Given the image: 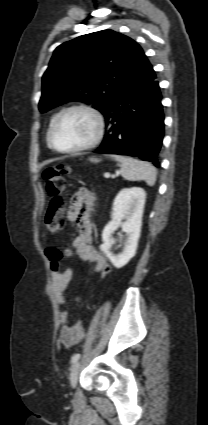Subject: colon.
Here are the masks:
<instances>
[{
	"label": "colon",
	"instance_id": "obj_1",
	"mask_svg": "<svg viewBox=\"0 0 208 425\" xmlns=\"http://www.w3.org/2000/svg\"><path fill=\"white\" fill-rule=\"evenodd\" d=\"M71 172V168L64 164H58L46 168L43 171V179L47 193L51 200L45 215V223L49 233H57L63 226L64 200L63 193L66 189V176ZM46 254L51 262L53 271L61 268L63 257L70 256L71 251L62 252L60 249L51 247L46 250ZM110 272V267L105 266L100 271L101 278H106Z\"/></svg>",
	"mask_w": 208,
	"mask_h": 425
}]
</instances>
